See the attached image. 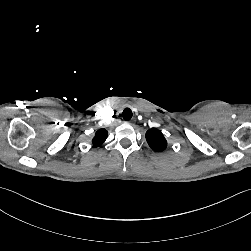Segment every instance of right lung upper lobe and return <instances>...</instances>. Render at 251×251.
<instances>
[{
  "label": "right lung upper lobe",
  "instance_id": "right-lung-upper-lobe-1",
  "mask_svg": "<svg viewBox=\"0 0 251 251\" xmlns=\"http://www.w3.org/2000/svg\"><path fill=\"white\" fill-rule=\"evenodd\" d=\"M107 130L106 129H99L96 134H95V137L93 138L92 140V143L95 145V146H100L102 145L106 138H107Z\"/></svg>",
  "mask_w": 251,
  "mask_h": 251
}]
</instances>
